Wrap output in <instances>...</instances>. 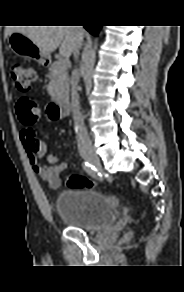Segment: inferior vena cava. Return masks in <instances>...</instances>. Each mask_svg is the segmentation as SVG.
<instances>
[{
  "mask_svg": "<svg viewBox=\"0 0 184 292\" xmlns=\"http://www.w3.org/2000/svg\"><path fill=\"white\" fill-rule=\"evenodd\" d=\"M78 28L81 30L82 26H78ZM83 44V38L80 39L75 51L74 56L75 59H78L79 50L81 49ZM79 72L77 69L73 70L72 72V89H71V101L72 106L74 108L73 110V119L75 122V125L78 126V148L80 152L90 151L92 150V142L89 138L87 129L84 125V119L80 113V107H79V96L77 93V85L79 82Z\"/></svg>",
  "mask_w": 184,
  "mask_h": 292,
  "instance_id": "1",
  "label": "inferior vena cava"
}]
</instances>
